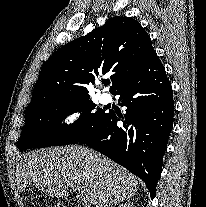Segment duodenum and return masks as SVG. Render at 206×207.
<instances>
[{"label": "duodenum", "instance_id": "obj_1", "mask_svg": "<svg viewBox=\"0 0 206 207\" xmlns=\"http://www.w3.org/2000/svg\"><path fill=\"white\" fill-rule=\"evenodd\" d=\"M66 207H78L77 203L75 201H69L66 204Z\"/></svg>", "mask_w": 206, "mask_h": 207}]
</instances>
